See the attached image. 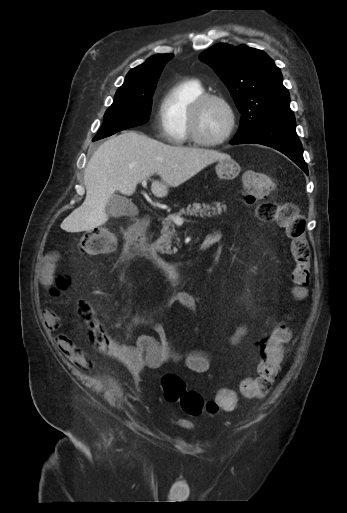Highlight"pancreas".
Returning <instances> with one entry per match:
<instances>
[{
	"mask_svg": "<svg viewBox=\"0 0 347 513\" xmlns=\"http://www.w3.org/2000/svg\"><path fill=\"white\" fill-rule=\"evenodd\" d=\"M226 209L225 205L220 204L219 202H213L211 204L205 203H192L188 205L187 208H181L179 212L174 213L171 216H182V215H190V216H201V217H211L212 215L221 214L222 210ZM171 216L162 219V229L161 236L155 242L157 249L161 253L172 254L176 252V248L171 249L172 239L177 237V232L175 230V226L172 223ZM177 240H179L177 238Z\"/></svg>",
	"mask_w": 347,
	"mask_h": 513,
	"instance_id": "obj_1",
	"label": "pancreas"
}]
</instances>
